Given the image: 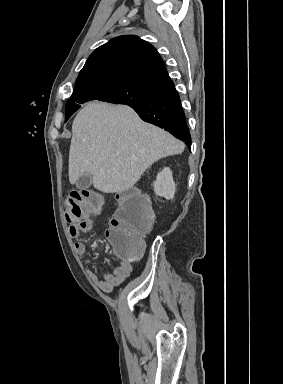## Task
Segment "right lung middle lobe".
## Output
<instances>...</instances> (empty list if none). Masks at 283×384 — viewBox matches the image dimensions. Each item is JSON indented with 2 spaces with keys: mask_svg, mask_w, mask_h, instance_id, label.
I'll return each instance as SVG.
<instances>
[{
  "mask_svg": "<svg viewBox=\"0 0 283 384\" xmlns=\"http://www.w3.org/2000/svg\"><path fill=\"white\" fill-rule=\"evenodd\" d=\"M152 91L123 83H103L74 89L66 104L65 122L87 101L99 100L114 104H138L147 101Z\"/></svg>",
  "mask_w": 283,
  "mask_h": 384,
  "instance_id": "right-lung-middle-lobe-1",
  "label": "right lung middle lobe"
}]
</instances>
